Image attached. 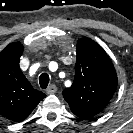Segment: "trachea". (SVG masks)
Wrapping results in <instances>:
<instances>
[{"instance_id": "obj_1", "label": "trachea", "mask_w": 133, "mask_h": 133, "mask_svg": "<svg viewBox=\"0 0 133 133\" xmlns=\"http://www.w3.org/2000/svg\"><path fill=\"white\" fill-rule=\"evenodd\" d=\"M49 80H50V78H49V75L47 73L41 74L40 77H39L40 87L42 89L47 88V86L49 84Z\"/></svg>"}]
</instances>
